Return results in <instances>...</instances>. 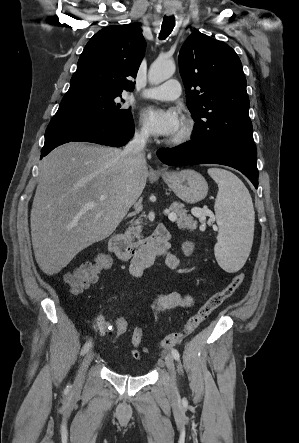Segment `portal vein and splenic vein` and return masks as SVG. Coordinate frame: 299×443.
<instances>
[{
  "label": "portal vein and splenic vein",
  "instance_id": "obj_1",
  "mask_svg": "<svg viewBox=\"0 0 299 443\" xmlns=\"http://www.w3.org/2000/svg\"><path fill=\"white\" fill-rule=\"evenodd\" d=\"M93 206H94V203H88V204H86L84 207H85V208H92ZM164 213L168 215V218H169V220H171V221H175L176 218H177L176 214L173 213V212H170V210H168V209L165 210ZM204 214H206V212H204Z\"/></svg>",
  "mask_w": 299,
  "mask_h": 443
}]
</instances>
